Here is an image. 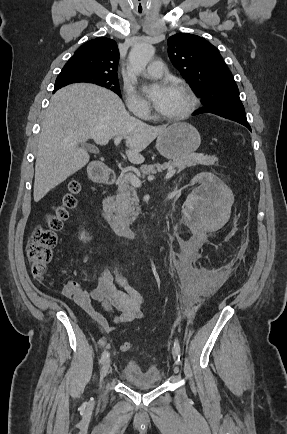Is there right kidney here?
Here are the masks:
<instances>
[{"instance_id":"1","label":"right kidney","mask_w":287,"mask_h":434,"mask_svg":"<svg viewBox=\"0 0 287 434\" xmlns=\"http://www.w3.org/2000/svg\"><path fill=\"white\" fill-rule=\"evenodd\" d=\"M80 239L81 240H83V241H88V240H90V238L85 234V232H82L81 234H80Z\"/></svg>"}]
</instances>
